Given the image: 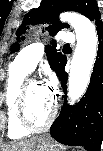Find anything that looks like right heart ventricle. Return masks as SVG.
I'll return each mask as SVG.
<instances>
[{"label":"right heart ventricle","mask_w":103,"mask_h":151,"mask_svg":"<svg viewBox=\"0 0 103 151\" xmlns=\"http://www.w3.org/2000/svg\"><path fill=\"white\" fill-rule=\"evenodd\" d=\"M29 71L14 60L9 67L5 86V110L7 117V133L10 139H21L30 134L20 126L16 116L17 100L24 78Z\"/></svg>","instance_id":"1"}]
</instances>
